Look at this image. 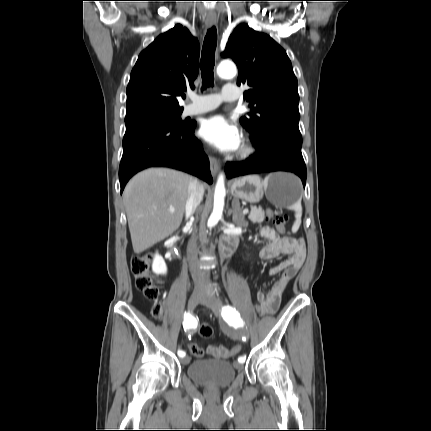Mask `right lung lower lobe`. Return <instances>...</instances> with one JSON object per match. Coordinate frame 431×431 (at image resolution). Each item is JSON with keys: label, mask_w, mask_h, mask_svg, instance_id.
<instances>
[{"label": "right lung lower lobe", "mask_w": 431, "mask_h": 431, "mask_svg": "<svg viewBox=\"0 0 431 431\" xmlns=\"http://www.w3.org/2000/svg\"><path fill=\"white\" fill-rule=\"evenodd\" d=\"M195 126V121L181 125L154 121L126 128L119 169L121 193L134 174L149 167L178 169L212 183L208 157L194 136Z\"/></svg>", "instance_id": "1"}]
</instances>
